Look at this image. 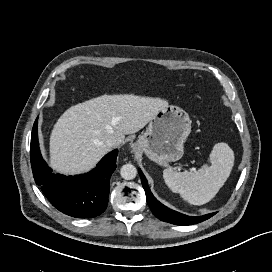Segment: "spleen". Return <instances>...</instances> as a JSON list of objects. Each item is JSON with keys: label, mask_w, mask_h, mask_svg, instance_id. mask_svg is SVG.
Masks as SVG:
<instances>
[{"label": "spleen", "mask_w": 272, "mask_h": 272, "mask_svg": "<svg viewBox=\"0 0 272 272\" xmlns=\"http://www.w3.org/2000/svg\"><path fill=\"white\" fill-rule=\"evenodd\" d=\"M211 165L198 171H163L166 185L192 205L209 202L224 185L234 165V153L226 143H217L210 154Z\"/></svg>", "instance_id": "obj_1"}]
</instances>
